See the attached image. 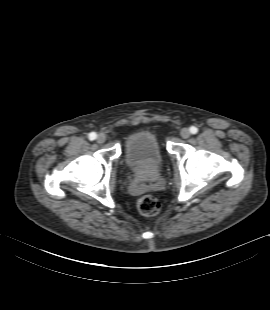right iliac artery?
<instances>
[{"mask_svg": "<svg viewBox=\"0 0 270 310\" xmlns=\"http://www.w3.org/2000/svg\"><path fill=\"white\" fill-rule=\"evenodd\" d=\"M96 137H97V134H96L95 132H91V133L89 134V139H90V140H94V139H96Z\"/></svg>", "mask_w": 270, "mask_h": 310, "instance_id": "1", "label": "right iliac artery"}]
</instances>
